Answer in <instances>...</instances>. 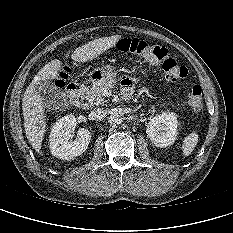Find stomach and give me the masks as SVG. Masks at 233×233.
I'll use <instances>...</instances> for the list:
<instances>
[{
    "instance_id": "0dacf381",
    "label": "stomach",
    "mask_w": 233,
    "mask_h": 233,
    "mask_svg": "<svg viewBox=\"0 0 233 233\" xmlns=\"http://www.w3.org/2000/svg\"><path fill=\"white\" fill-rule=\"evenodd\" d=\"M93 73L96 79V83L98 82L113 83V81L118 76L117 69L111 65H107V66H104L103 68L96 69Z\"/></svg>"
}]
</instances>
